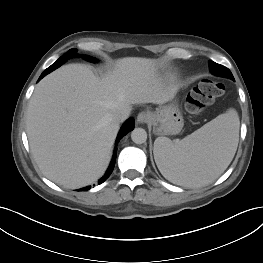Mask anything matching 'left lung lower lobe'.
Listing matches in <instances>:
<instances>
[{
    "instance_id": "1",
    "label": "left lung lower lobe",
    "mask_w": 263,
    "mask_h": 263,
    "mask_svg": "<svg viewBox=\"0 0 263 263\" xmlns=\"http://www.w3.org/2000/svg\"><path fill=\"white\" fill-rule=\"evenodd\" d=\"M210 72L213 73V74L216 73L215 68L214 67H210Z\"/></svg>"
}]
</instances>
